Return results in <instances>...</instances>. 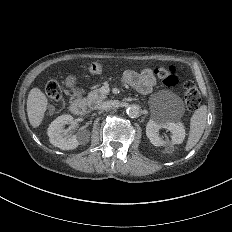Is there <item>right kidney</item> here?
Segmentation results:
<instances>
[{
  "instance_id": "obj_1",
  "label": "right kidney",
  "mask_w": 232,
  "mask_h": 232,
  "mask_svg": "<svg viewBox=\"0 0 232 232\" xmlns=\"http://www.w3.org/2000/svg\"><path fill=\"white\" fill-rule=\"evenodd\" d=\"M73 121L71 115H61L51 122L47 133L49 141L54 146L62 150H71L77 148L79 145H85L89 141V136L79 131L77 134L72 135L68 129H64L66 124Z\"/></svg>"
}]
</instances>
